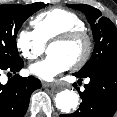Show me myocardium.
I'll return each mask as SVG.
<instances>
[{
	"mask_svg": "<svg viewBox=\"0 0 117 117\" xmlns=\"http://www.w3.org/2000/svg\"><path fill=\"white\" fill-rule=\"evenodd\" d=\"M83 42L84 52L82 56L71 65L72 69H80L85 66L90 60L93 52V40L86 30H70L55 36L51 39L48 48L53 44H69L73 42Z\"/></svg>",
	"mask_w": 117,
	"mask_h": 117,
	"instance_id": "myocardium-1",
	"label": "myocardium"
}]
</instances>
